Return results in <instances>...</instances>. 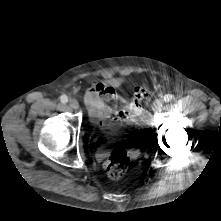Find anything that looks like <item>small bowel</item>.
<instances>
[{
    "mask_svg": "<svg viewBox=\"0 0 221 221\" xmlns=\"http://www.w3.org/2000/svg\"><path fill=\"white\" fill-rule=\"evenodd\" d=\"M117 100L116 92L102 83L93 84L85 93V103L90 116L103 127H121L135 121L137 114L130 110L129 105L124 104L119 109L111 105Z\"/></svg>",
    "mask_w": 221,
    "mask_h": 221,
    "instance_id": "1",
    "label": "small bowel"
}]
</instances>
